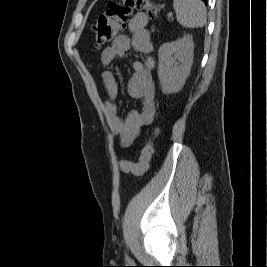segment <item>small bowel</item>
Listing matches in <instances>:
<instances>
[{
    "mask_svg": "<svg viewBox=\"0 0 267 267\" xmlns=\"http://www.w3.org/2000/svg\"><path fill=\"white\" fill-rule=\"evenodd\" d=\"M147 23L148 17L145 13L134 14L128 24L130 37L117 36L100 56L101 64L105 68L102 80L108 96L104 103V113L113 134L124 148L132 146L142 129L151 124L155 117V84L152 78L154 60L149 57L145 62L139 60L132 62L133 74L128 84V93L132 98L141 100V109L132 111L126 119L120 117L116 102L119 95L118 82L107 68L114 60L123 58L131 48L144 54L152 52L153 46L146 29Z\"/></svg>",
    "mask_w": 267,
    "mask_h": 267,
    "instance_id": "1",
    "label": "small bowel"
}]
</instances>
